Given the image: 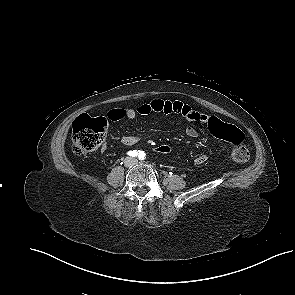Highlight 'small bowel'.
<instances>
[{
    "instance_id": "c3829d8e",
    "label": "small bowel",
    "mask_w": 295,
    "mask_h": 295,
    "mask_svg": "<svg viewBox=\"0 0 295 295\" xmlns=\"http://www.w3.org/2000/svg\"><path fill=\"white\" fill-rule=\"evenodd\" d=\"M152 112H161L165 114H178L184 117L189 122H197L207 125L210 132L214 134L212 130V122L220 121L217 117L210 116L201 112L194 110L190 105L181 101H171L164 99H153L148 103L139 105L136 109L133 108H115L111 109L107 113V118L111 121H118L121 119H134L137 114L147 115ZM223 123V122H222ZM185 133L190 138L198 137L199 133L193 126H188ZM216 136V135H215ZM217 137V136H216ZM139 137L137 135L124 136L121 140L122 144L125 146H132L137 143ZM106 150V145H102L101 151ZM208 160L206 154L198 155L194 159L195 165H203Z\"/></svg>"
}]
</instances>
